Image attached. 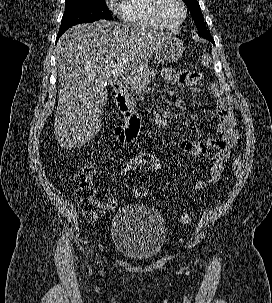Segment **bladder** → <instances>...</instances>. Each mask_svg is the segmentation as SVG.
Returning <instances> with one entry per match:
<instances>
[{
  "mask_svg": "<svg viewBox=\"0 0 272 303\" xmlns=\"http://www.w3.org/2000/svg\"><path fill=\"white\" fill-rule=\"evenodd\" d=\"M111 234L116 251L133 261H149L163 249L166 224L161 213L145 204L122 206L115 213Z\"/></svg>",
  "mask_w": 272,
  "mask_h": 303,
  "instance_id": "bladder-1",
  "label": "bladder"
}]
</instances>
